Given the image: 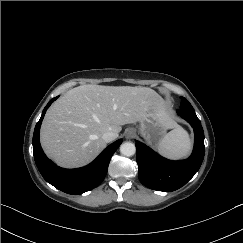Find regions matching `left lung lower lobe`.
<instances>
[{
	"instance_id": "1",
	"label": "left lung lower lobe",
	"mask_w": 243,
	"mask_h": 243,
	"mask_svg": "<svg viewBox=\"0 0 243 243\" xmlns=\"http://www.w3.org/2000/svg\"><path fill=\"white\" fill-rule=\"evenodd\" d=\"M177 114L190 123L195 133L194 149L188 159L171 161L139 141L135 144L139 180L150 189L165 192L177 190L194 176L202 164L205 146L201 122L195 113L177 110Z\"/></svg>"
}]
</instances>
